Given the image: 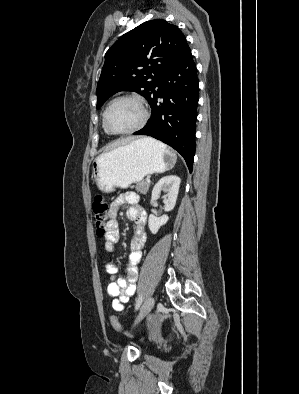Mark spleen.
<instances>
[{
	"mask_svg": "<svg viewBox=\"0 0 299 394\" xmlns=\"http://www.w3.org/2000/svg\"><path fill=\"white\" fill-rule=\"evenodd\" d=\"M156 143H158L159 145H162V146H164L163 144H161L160 142H157V141H155Z\"/></svg>",
	"mask_w": 299,
	"mask_h": 394,
	"instance_id": "obj_1",
	"label": "spleen"
}]
</instances>
